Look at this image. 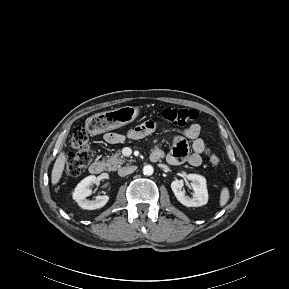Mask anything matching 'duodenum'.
<instances>
[{
  "instance_id": "obj_1",
  "label": "duodenum",
  "mask_w": 289,
  "mask_h": 289,
  "mask_svg": "<svg viewBox=\"0 0 289 289\" xmlns=\"http://www.w3.org/2000/svg\"><path fill=\"white\" fill-rule=\"evenodd\" d=\"M160 158H161V156L157 153H152L150 155V159L153 162H157ZM104 170H105V165L101 161H94L89 167L90 173H92L94 175L101 174L102 172H104Z\"/></svg>"
}]
</instances>
